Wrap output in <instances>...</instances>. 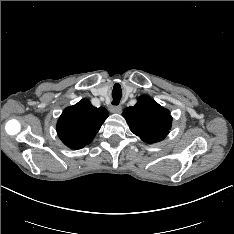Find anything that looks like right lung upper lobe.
Instances as JSON below:
<instances>
[{"label": "right lung upper lobe", "mask_w": 234, "mask_h": 234, "mask_svg": "<svg viewBox=\"0 0 234 234\" xmlns=\"http://www.w3.org/2000/svg\"><path fill=\"white\" fill-rule=\"evenodd\" d=\"M108 116L104 107L96 108L89 100L82 99L61 114L57 122L58 136L69 148H83L92 142Z\"/></svg>", "instance_id": "1"}]
</instances>
